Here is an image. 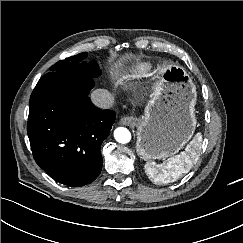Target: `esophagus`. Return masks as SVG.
Here are the masks:
<instances>
[{
  "instance_id": "esophagus-1",
  "label": "esophagus",
  "mask_w": 243,
  "mask_h": 243,
  "mask_svg": "<svg viewBox=\"0 0 243 243\" xmlns=\"http://www.w3.org/2000/svg\"><path fill=\"white\" fill-rule=\"evenodd\" d=\"M120 124L122 125H135L136 124V119L133 117H129V116H124L120 119L119 121Z\"/></svg>"
}]
</instances>
